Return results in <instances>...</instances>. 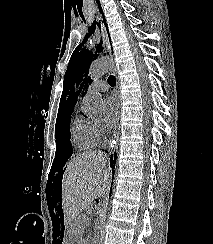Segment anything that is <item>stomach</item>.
I'll use <instances>...</instances> for the list:
<instances>
[{
	"mask_svg": "<svg viewBox=\"0 0 213 244\" xmlns=\"http://www.w3.org/2000/svg\"><path fill=\"white\" fill-rule=\"evenodd\" d=\"M65 228L67 234L63 239V244H72V239H78L79 229H77L76 221H66Z\"/></svg>",
	"mask_w": 213,
	"mask_h": 244,
	"instance_id": "1",
	"label": "stomach"
}]
</instances>
